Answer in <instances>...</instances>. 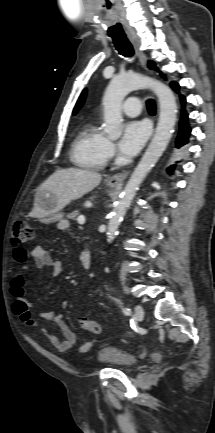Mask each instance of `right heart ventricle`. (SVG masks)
Returning <instances> with one entry per match:
<instances>
[{
    "label": "right heart ventricle",
    "instance_id": "1",
    "mask_svg": "<svg viewBox=\"0 0 215 433\" xmlns=\"http://www.w3.org/2000/svg\"><path fill=\"white\" fill-rule=\"evenodd\" d=\"M107 138L95 121H89L77 134L71 157L78 166L88 169H102L107 162L105 146Z\"/></svg>",
    "mask_w": 215,
    "mask_h": 433
}]
</instances>
